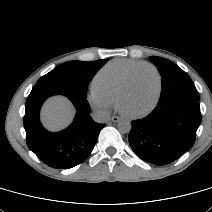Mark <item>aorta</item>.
Wrapping results in <instances>:
<instances>
[{"mask_svg": "<svg viewBox=\"0 0 212 212\" xmlns=\"http://www.w3.org/2000/svg\"><path fill=\"white\" fill-rule=\"evenodd\" d=\"M117 127L121 133H128L131 130V123L129 120H121L118 122Z\"/></svg>", "mask_w": 212, "mask_h": 212, "instance_id": "1", "label": "aorta"}]
</instances>
